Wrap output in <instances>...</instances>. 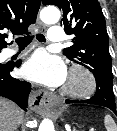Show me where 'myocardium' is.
<instances>
[{
  "instance_id": "f54148a6",
  "label": "myocardium",
  "mask_w": 117,
  "mask_h": 131,
  "mask_svg": "<svg viewBox=\"0 0 117 131\" xmlns=\"http://www.w3.org/2000/svg\"><path fill=\"white\" fill-rule=\"evenodd\" d=\"M75 78L77 82L70 84L66 82L61 92L70 98H85L93 94L96 89L94 75L81 65H74L70 68L68 79Z\"/></svg>"
}]
</instances>
